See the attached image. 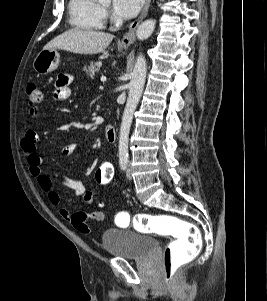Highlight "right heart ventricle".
<instances>
[{"instance_id": "1", "label": "right heart ventricle", "mask_w": 267, "mask_h": 301, "mask_svg": "<svg viewBox=\"0 0 267 301\" xmlns=\"http://www.w3.org/2000/svg\"><path fill=\"white\" fill-rule=\"evenodd\" d=\"M69 18L73 27L85 31L103 28L104 18L98 0H70Z\"/></svg>"}]
</instances>
